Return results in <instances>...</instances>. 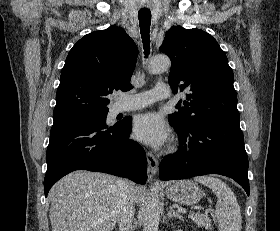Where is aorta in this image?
<instances>
[{
  "label": "aorta",
  "instance_id": "aorta-1",
  "mask_svg": "<svg viewBox=\"0 0 280 231\" xmlns=\"http://www.w3.org/2000/svg\"><path fill=\"white\" fill-rule=\"evenodd\" d=\"M170 66L171 62L167 56H157V58H152V60L148 62L147 70L149 74H161V72L169 70ZM159 203L160 201L157 191L151 189L144 205L143 231H158L160 219Z\"/></svg>",
  "mask_w": 280,
  "mask_h": 231
}]
</instances>
